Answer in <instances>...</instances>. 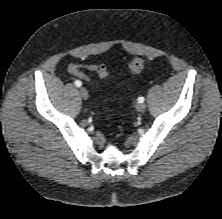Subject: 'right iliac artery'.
Masks as SVG:
<instances>
[{"mask_svg": "<svg viewBox=\"0 0 222 219\" xmlns=\"http://www.w3.org/2000/svg\"><path fill=\"white\" fill-rule=\"evenodd\" d=\"M75 85H76L77 87H80V86L82 85V82H81L80 80H76V81H75Z\"/></svg>", "mask_w": 222, "mask_h": 219, "instance_id": "82829eb1", "label": "right iliac artery"}]
</instances>
